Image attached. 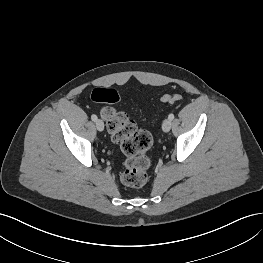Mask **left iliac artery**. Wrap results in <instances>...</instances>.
I'll use <instances>...</instances> for the list:
<instances>
[{"mask_svg":"<svg viewBox=\"0 0 263 263\" xmlns=\"http://www.w3.org/2000/svg\"><path fill=\"white\" fill-rule=\"evenodd\" d=\"M168 119L173 120L174 119V114H172V113L169 114Z\"/></svg>","mask_w":263,"mask_h":263,"instance_id":"44dca946","label":"left iliac artery"}]
</instances>
